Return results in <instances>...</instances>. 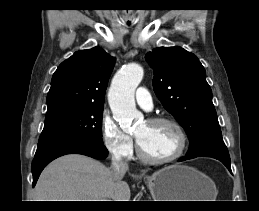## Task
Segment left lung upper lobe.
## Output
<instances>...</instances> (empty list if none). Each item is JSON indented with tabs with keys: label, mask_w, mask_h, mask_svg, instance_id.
<instances>
[{
	"label": "left lung upper lobe",
	"mask_w": 259,
	"mask_h": 211,
	"mask_svg": "<svg viewBox=\"0 0 259 211\" xmlns=\"http://www.w3.org/2000/svg\"><path fill=\"white\" fill-rule=\"evenodd\" d=\"M146 60L154 70L155 94L188 135L186 155L202 151L228 153L199 59L181 47H159L147 53Z\"/></svg>",
	"instance_id": "left-lung-upper-lobe-1"
}]
</instances>
